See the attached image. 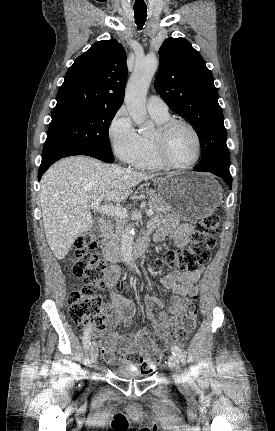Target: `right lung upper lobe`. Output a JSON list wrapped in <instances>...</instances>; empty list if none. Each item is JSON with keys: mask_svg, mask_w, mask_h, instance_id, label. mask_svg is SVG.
Segmentation results:
<instances>
[{"mask_svg": "<svg viewBox=\"0 0 275 431\" xmlns=\"http://www.w3.org/2000/svg\"><path fill=\"white\" fill-rule=\"evenodd\" d=\"M127 78L126 53L118 41L96 42L68 69L52 113L75 109L118 110Z\"/></svg>", "mask_w": 275, "mask_h": 431, "instance_id": "cb5924a9", "label": "right lung upper lobe"}]
</instances>
